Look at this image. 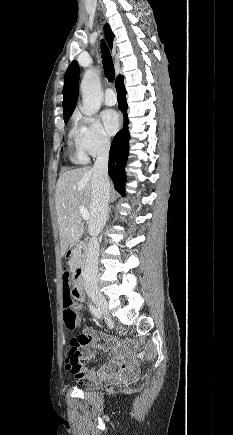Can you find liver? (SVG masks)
<instances>
[{"label": "liver", "instance_id": "obj_1", "mask_svg": "<svg viewBox=\"0 0 233 435\" xmlns=\"http://www.w3.org/2000/svg\"><path fill=\"white\" fill-rule=\"evenodd\" d=\"M92 176V168L81 167L63 172L57 181L55 206L62 256L83 234L79 206H84L90 214Z\"/></svg>", "mask_w": 233, "mask_h": 435}]
</instances>
